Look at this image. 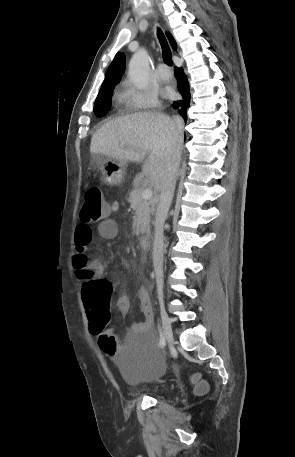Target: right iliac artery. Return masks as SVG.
<instances>
[{
  "label": "right iliac artery",
  "instance_id": "obj_1",
  "mask_svg": "<svg viewBox=\"0 0 295 457\" xmlns=\"http://www.w3.org/2000/svg\"><path fill=\"white\" fill-rule=\"evenodd\" d=\"M158 330H159V334H160L159 345H160V347L163 348V347L165 346V344H166L165 338H164L163 333H162V330H161V328H160L159 326H158Z\"/></svg>",
  "mask_w": 295,
  "mask_h": 457
}]
</instances>
